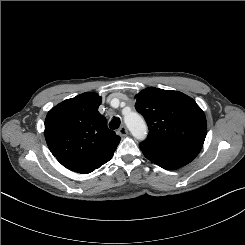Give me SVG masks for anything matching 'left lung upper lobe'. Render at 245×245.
Wrapping results in <instances>:
<instances>
[{"instance_id": "5c2ea615", "label": "left lung upper lobe", "mask_w": 245, "mask_h": 245, "mask_svg": "<svg viewBox=\"0 0 245 245\" xmlns=\"http://www.w3.org/2000/svg\"><path fill=\"white\" fill-rule=\"evenodd\" d=\"M145 118L147 141L196 157L207 132L206 117L194 99L173 90L149 87L135 96Z\"/></svg>"}]
</instances>
